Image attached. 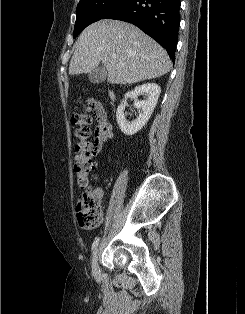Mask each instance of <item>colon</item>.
I'll return each mask as SVG.
<instances>
[{"instance_id": "1", "label": "colon", "mask_w": 245, "mask_h": 314, "mask_svg": "<svg viewBox=\"0 0 245 314\" xmlns=\"http://www.w3.org/2000/svg\"><path fill=\"white\" fill-rule=\"evenodd\" d=\"M92 100L88 99L78 107L73 115L72 122L76 126L75 135L78 142L75 145V165L74 173L77 184L81 188H86L77 203V220L79 226L84 230L95 229L102 218L101 215V194L97 190L89 188V174L94 167L92 162L93 147L89 141Z\"/></svg>"}]
</instances>
